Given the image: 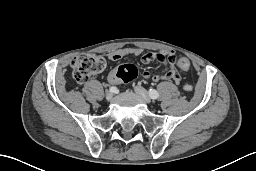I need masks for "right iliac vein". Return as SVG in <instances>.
<instances>
[{"label": "right iliac vein", "mask_w": 256, "mask_h": 171, "mask_svg": "<svg viewBox=\"0 0 256 171\" xmlns=\"http://www.w3.org/2000/svg\"><path fill=\"white\" fill-rule=\"evenodd\" d=\"M112 98H113V93L110 92V91H108V92L106 93V95H105V99H106L107 101H110V100H112Z\"/></svg>", "instance_id": "63e3f726"}]
</instances>
